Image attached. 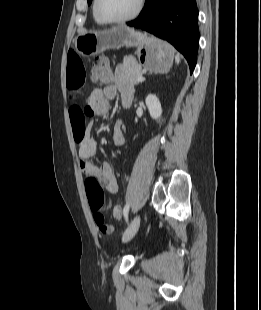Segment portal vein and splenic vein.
Here are the masks:
<instances>
[{"instance_id": "portal-vein-and-splenic-vein-1", "label": "portal vein and splenic vein", "mask_w": 261, "mask_h": 310, "mask_svg": "<svg viewBox=\"0 0 261 310\" xmlns=\"http://www.w3.org/2000/svg\"><path fill=\"white\" fill-rule=\"evenodd\" d=\"M145 80V78L143 77V76H140V77H138V79H137V81H139V82H142V81H144Z\"/></svg>"}]
</instances>
